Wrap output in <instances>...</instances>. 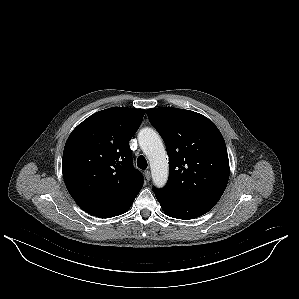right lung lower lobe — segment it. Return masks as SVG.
Returning <instances> with one entry per match:
<instances>
[{
  "label": "right lung lower lobe",
  "mask_w": 299,
  "mask_h": 299,
  "mask_svg": "<svg viewBox=\"0 0 299 299\" xmlns=\"http://www.w3.org/2000/svg\"><path fill=\"white\" fill-rule=\"evenodd\" d=\"M85 212L97 216L99 218H110L120 214H116V205L115 202L112 200H102L97 204H94L92 207H82ZM125 213V212H124ZM123 214V213H122Z\"/></svg>",
  "instance_id": "obj_1"
}]
</instances>
